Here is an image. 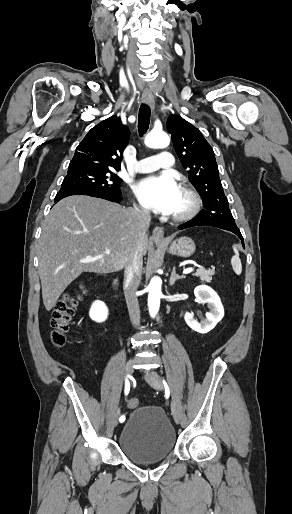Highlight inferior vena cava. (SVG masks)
Segmentation results:
<instances>
[{"instance_id": "1", "label": "inferior vena cava", "mask_w": 292, "mask_h": 514, "mask_svg": "<svg viewBox=\"0 0 292 514\" xmlns=\"http://www.w3.org/2000/svg\"><path fill=\"white\" fill-rule=\"evenodd\" d=\"M133 210V208H132ZM133 216L136 218L135 230L137 240L134 250L130 254L129 262H126L124 272L125 284V300L130 316V320L134 326H140V310L136 296L137 288L139 286V278L142 272L143 264V250L142 240L146 234V230L151 222L150 214L147 210H133Z\"/></svg>"}]
</instances>
